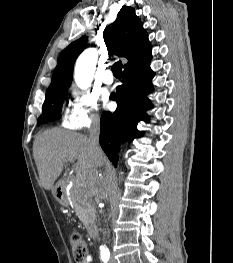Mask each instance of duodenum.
<instances>
[{"mask_svg": "<svg viewBox=\"0 0 233 263\" xmlns=\"http://www.w3.org/2000/svg\"><path fill=\"white\" fill-rule=\"evenodd\" d=\"M60 195H61V194H60ZM60 197H61V196H60ZM61 198H62V197H61ZM89 236H90L93 240L97 239L98 233H97V228H96V226L91 225V226L89 227Z\"/></svg>", "mask_w": 233, "mask_h": 263, "instance_id": "410a0bca", "label": "duodenum"}]
</instances>
